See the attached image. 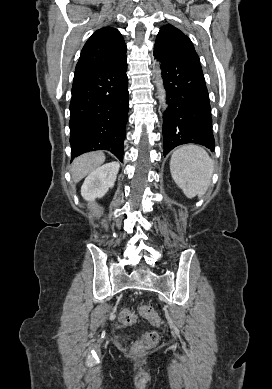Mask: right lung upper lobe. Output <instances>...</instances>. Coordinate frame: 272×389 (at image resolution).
<instances>
[{
  "mask_svg": "<svg viewBox=\"0 0 272 389\" xmlns=\"http://www.w3.org/2000/svg\"><path fill=\"white\" fill-rule=\"evenodd\" d=\"M126 56V44L117 29L104 27L94 32L84 45L75 74L85 73Z\"/></svg>",
  "mask_w": 272,
  "mask_h": 389,
  "instance_id": "1",
  "label": "right lung upper lobe"
}]
</instances>
